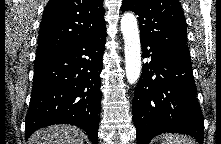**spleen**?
Segmentation results:
<instances>
[{"mask_svg": "<svg viewBox=\"0 0 221 144\" xmlns=\"http://www.w3.org/2000/svg\"><path fill=\"white\" fill-rule=\"evenodd\" d=\"M162 144H195V142L184 135L166 134L163 136Z\"/></svg>", "mask_w": 221, "mask_h": 144, "instance_id": "obj_1", "label": "spleen"}]
</instances>
